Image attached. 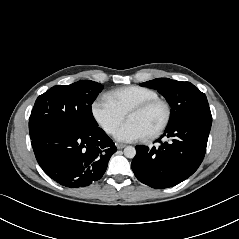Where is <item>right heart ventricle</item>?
Here are the masks:
<instances>
[{"mask_svg":"<svg viewBox=\"0 0 239 239\" xmlns=\"http://www.w3.org/2000/svg\"><path fill=\"white\" fill-rule=\"evenodd\" d=\"M105 97L126 115L136 105L158 98V94L150 88L132 85L109 91Z\"/></svg>","mask_w":239,"mask_h":239,"instance_id":"e07e8e85","label":"right heart ventricle"}]
</instances>
